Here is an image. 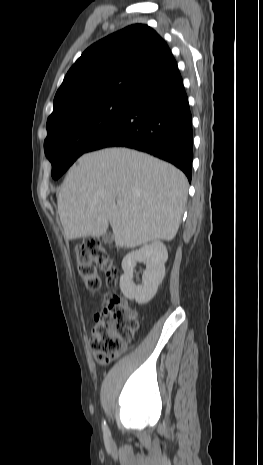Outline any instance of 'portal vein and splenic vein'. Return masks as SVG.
<instances>
[{
    "mask_svg": "<svg viewBox=\"0 0 263 465\" xmlns=\"http://www.w3.org/2000/svg\"><path fill=\"white\" fill-rule=\"evenodd\" d=\"M118 205H121V203H120V202H118Z\"/></svg>",
    "mask_w": 263,
    "mask_h": 465,
    "instance_id": "1",
    "label": "portal vein and splenic vein"
}]
</instances>
